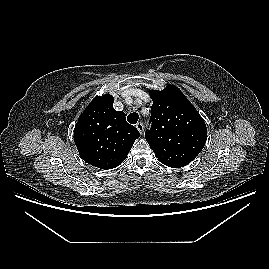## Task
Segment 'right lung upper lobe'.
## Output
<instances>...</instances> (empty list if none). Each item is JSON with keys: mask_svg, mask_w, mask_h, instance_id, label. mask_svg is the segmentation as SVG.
Listing matches in <instances>:
<instances>
[{"mask_svg": "<svg viewBox=\"0 0 269 269\" xmlns=\"http://www.w3.org/2000/svg\"><path fill=\"white\" fill-rule=\"evenodd\" d=\"M110 94L97 96L80 115L74 141L80 157L100 169H112L127 157L138 130L128 124L125 113L115 111Z\"/></svg>", "mask_w": 269, "mask_h": 269, "instance_id": "obj_1", "label": "right lung upper lobe"}]
</instances>
